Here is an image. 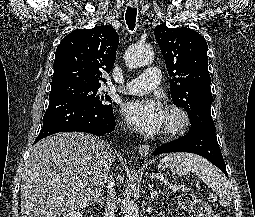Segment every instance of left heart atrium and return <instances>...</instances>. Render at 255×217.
Instances as JSON below:
<instances>
[{
  "label": "left heart atrium",
  "instance_id": "left-heart-atrium-1",
  "mask_svg": "<svg viewBox=\"0 0 255 217\" xmlns=\"http://www.w3.org/2000/svg\"><path fill=\"white\" fill-rule=\"evenodd\" d=\"M121 113L136 131L147 135L160 132L165 119L163 106L153 99L129 101L121 107Z\"/></svg>",
  "mask_w": 255,
  "mask_h": 217
}]
</instances>
